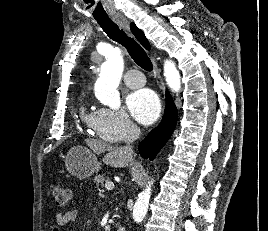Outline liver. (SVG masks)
Here are the masks:
<instances>
[{"mask_svg":"<svg viewBox=\"0 0 268 231\" xmlns=\"http://www.w3.org/2000/svg\"><path fill=\"white\" fill-rule=\"evenodd\" d=\"M87 146L95 153L101 154L107 152L103 157V162L113 167L123 168L132 162V157L125 152L123 147H113L101 140L87 139Z\"/></svg>","mask_w":268,"mask_h":231,"instance_id":"6515ba94","label":"liver"}]
</instances>
